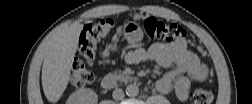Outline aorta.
Returning a JSON list of instances; mask_svg holds the SVG:
<instances>
[{
  "label": "aorta",
  "instance_id": "aorta-1",
  "mask_svg": "<svg viewBox=\"0 0 252 104\" xmlns=\"http://www.w3.org/2000/svg\"><path fill=\"white\" fill-rule=\"evenodd\" d=\"M126 94L129 97H136L139 94V88L136 84H129L126 87Z\"/></svg>",
  "mask_w": 252,
  "mask_h": 104
}]
</instances>
